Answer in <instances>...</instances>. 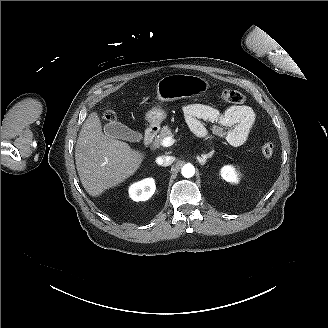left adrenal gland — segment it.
<instances>
[{
	"mask_svg": "<svg viewBox=\"0 0 328 328\" xmlns=\"http://www.w3.org/2000/svg\"><path fill=\"white\" fill-rule=\"evenodd\" d=\"M211 157H212V153L210 152L208 154L202 155L201 157L198 156L197 159L201 165H204L206 163V160Z\"/></svg>",
	"mask_w": 328,
	"mask_h": 328,
	"instance_id": "a2214340",
	"label": "left adrenal gland"
}]
</instances>
